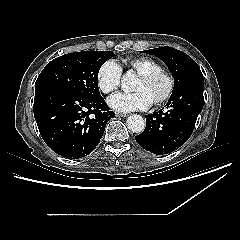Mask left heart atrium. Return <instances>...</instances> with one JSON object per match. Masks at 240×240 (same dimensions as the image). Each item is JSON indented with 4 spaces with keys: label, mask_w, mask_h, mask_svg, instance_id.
<instances>
[{
    "label": "left heart atrium",
    "mask_w": 240,
    "mask_h": 240,
    "mask_svg": "<svg viewBox=\"0 0 240 240\" xmlns=\"http://www.w3.org/2000/svg\"><path fill=\"white\" fill-rule=\"evenodd\" d=\"M108 102L113 109L120 112L146 109L151 103L142 91L119 92L109 97Z\"/></svg>",
    "instance_id": "1"
}]
</instances>
